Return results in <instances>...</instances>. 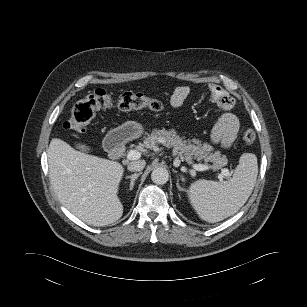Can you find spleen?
<instances>
[{
	"label": "spleen",
	"mask_w": 307,
	"mask_h": 307,
	"mask_svg": "<svg viewBox=\"0 0 307 307\" xmlns=\"http://www.w3.org/2000/svg\"><path fill=\"white\" fill-rule=\"evenodd\" d=\"M257 175V157L244 153L229 181L198 180L191 184L188 198L202 220L216 223L235 214L246 203Z\"/></svg>",
	"instance_id": "3e777b00"
}]
</instances>
